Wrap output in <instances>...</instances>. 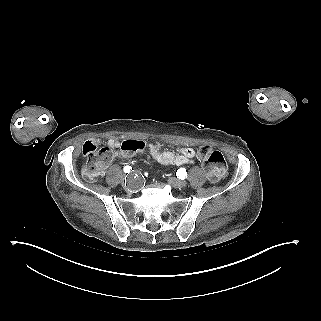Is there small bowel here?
Returning a JSON list of instances; mask_svg holds the SVG:
<instances>
[{
  "label": "small bowel",
  "instance_id": "1",
  "mask_svg": "<svg viewBox=\"0 0 321 321\" xmlns=\"http://www.w3.org/2000/svg\"><path fill=\"white\" fill-rule=\"evenodd\" d=\"M100 144L105 145L101 149V152L104 155V160L98 172L91 179L103 176L106 168L112 163L113 160L119 159V158H126L130 156V154H127L121 150V143L118 140L113 138L89 139L83 145V152L87 151L88 149L96 150L97 146ZM148 153L152 160H155L164 165H177V166L191 164L194 162V159L197 156V153L192 148H179L175 152H171V151L162 150L159 144H150L148 146Z\"/></svg>",
  "mask_w": 321,
  "mask_h": 321
}]
</instances>
